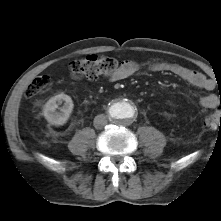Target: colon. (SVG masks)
Segmentation results:
<instances>
[{"instance_id":"1","label":"colon","mask_w":221,"mask_h":221,"mask_svg":"<svg viewBox=\"0 0 221 221\" xmlns=\"http://www.w3.org/2000/svg\"><path fill=\"white\" fill-rule=\"evenodd\" d=\"M122 65L123 62L116 58L89 55L71 62L70 69L75 74L94 80L100 77L112 76ZM49 84V77H37L28 85L26 95L28 97L36 96L44 91ZM204 126L211 130L221 128V109L209 113L204 120Z\"/></svg>"}]
</instances>
